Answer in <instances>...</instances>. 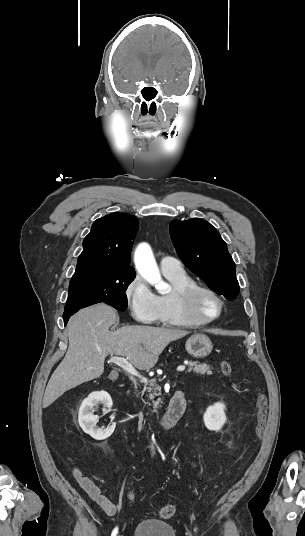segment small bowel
Wrapping results in <instances>:
<instances>
[{
  "instance_id": "1",
  "label": "small bowel",
  "mask_w": 305,
  "mask_h": 536,
  "mask_svg": "<svg viewBox=\"0 0 305 536\" xmlns=\"http://www.w3.org/2000/svg\"><path fill=\"white\" fill-rule=\"evenodd\" d=\"M195 468L194 462H190ZM73 477L78 482L80 487L85 491L89 500L105 515L114 516L117 512V506L107 496H105L100 488L88 477L84 476L77 468L72 469Z\"/></svg>"
}]
</instances>
